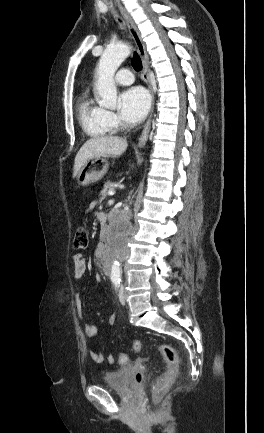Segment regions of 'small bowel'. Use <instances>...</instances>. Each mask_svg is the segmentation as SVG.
<instances>
[{"mask_svg":"<svg viewBox=\"0 0 264 433\" xmlns=\"http://www.w3.org/2000/svg\"><path fill=\"white\" fill-rule=\"evenodd\" d=\"M95 205H96L95 202L91 203V205H90L91 209H93L95 207ZM73 265H74V276H75V278L76 279L81 278L83 276V274L85 273V270H86V261H85L84 256L81 253H77V254L74 255V257H73ZM95 280L97 282H101V280H102L101 275L97 274L95 276ZM76 305H77L78 315H79V317H82V305H81V300L79 299V297L76 300ZM108 323L109 324H114L115 323V317L111 316L108 319ZM84 332H85V334L87 336L93 337V336H95L97 334L98 328L93 323H86V324H84ZM90 357L93 360V362H95L97 364L102 363L104 361V356L101 353H99V352H97L95 350H92L90 352ZM108 361L110 363H113L114 362V358L112 356H109L108 357Z\"/></svg>","mask_w":264,"mask_h":433,"instance_id":"c3829d8e","label":"small bowel"}]
</instances>
